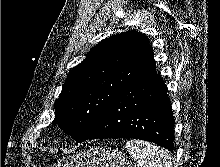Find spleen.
Segmentation results:
<instances>
[{"label": "spleen", "mask_w": 220, "mask_h": 167, "mask_svg": "<svg viewBox=\"0 0 220 167\" xmlns=\"http://www.w3.org/2000/svg\"><path fill=\"white\" fill-rule=\"evenodd\" d=\"M125 147L137 167H173L170 155L159 146L142 140H128Z\"/></svg>", "instance_id": "3e777b00"}]
</instances>
